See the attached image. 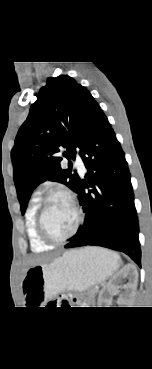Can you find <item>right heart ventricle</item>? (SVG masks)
Here are the masks:
<instances>
[{
  "mask_svg": "<svg viewBox=\"0 0 152 369\" xmlns=\"http://www.w3.org/2000/svg\"><path fill=\"white\" fill-rule=\"evenodd\" d=\"M40 200V194L35 193L29 201L25 214L27 236L30 242L31 249L35 252H44L51 248L50 244H47L41 239L36 227V215L39 208Z\"/></svg>",
  "mask_w": 152,
  "mask_h": 369,
  "instance_id": "obj_1",
  "label": "right heart ventricle"
}]
</instances>
